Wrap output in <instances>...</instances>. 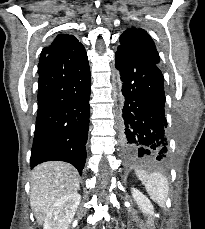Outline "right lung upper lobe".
Listing matches in <instances>:
<instances>
[{"label": "right lung upper lobe", "mask_w": 205, "mask_h": 229, "mask_svg": "<svg viewBox=\"0 0 205 229\" xmlns=\"http://www.w3.org/2000/svg\"><path fill=\"white\" fill-rule=\"evenodd\" d=\"M52 52L70 69L80 68L88 63L84 46L73 35L58 34L49 46L43 48L40 61Z\"/></svg>", "instance_id": "right-lung-upper-lobe-1"}]
</instances>
